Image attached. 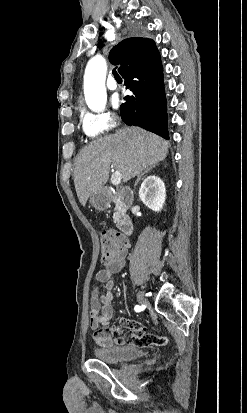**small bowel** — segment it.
<instances>
[{
  "instance_id": "obj_1",
  "label": "small bowel",
  "mask_w": 247,
  "mask_h": 413,
  "mask_svg": "<svg viewBox=\"0 0 247 413\" xmlns=\"http://www.w3.org/2000/svg\"><path fill=\"white\" fill-rule=\"evenodd\" d=\"M127 245L117 251L105 266L96 273L95 287L90 299V328L95 331L93 341L97 346L110 348L123 343H133L135 349L165 348L167 337L162 334H147L142 322H135L122 337H113V329L107 326L113 316V275L120 272L126 263ZM133 320H124L126 326ZM129 327V326H128ZM140 338V340H136Z\"/></svg>"
}]
</instances>
